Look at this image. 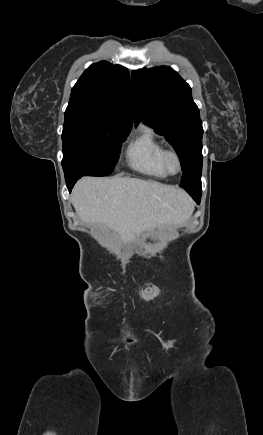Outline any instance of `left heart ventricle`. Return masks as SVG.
Segmentation results:
<instances>
[{
  "label": "left heart ventricle",
  "instance_id": "left-heart-ventricle-1",
  "mask_svg": "<svg viewBox=\"0 0 263 435\" xmlns=\"http://www.w3.org/2000/svg\"><path fill=\"white\" fill-rule=\"evenodd\" d=\"M169 166L173 171L177 169V162L173 157L169 159Z\"/></svg>",
  "mask_w": 263,
  "mask_h": 435
}]
</instances>
